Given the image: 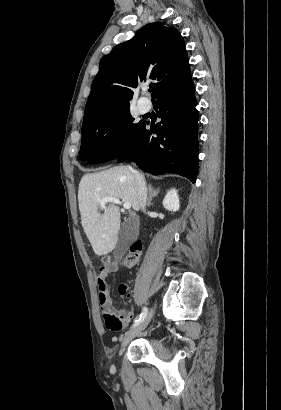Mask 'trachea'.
I'll return each instance as SVG.
<instances>
[{"label": "trachea", "instance_id": "obj_1", "mask_svg": "<svg viewBox=\"0 0 281 410\" xmlns=\"http://www.w3.org/2000/svg\"><path fill=\"white\" fill-rule=\"evenodd\" d=\"M152 91H153V87H150V88H149V92H152Z\"/></svg>", "mask_w": 281, "mask_h": 410}]
</instances>
